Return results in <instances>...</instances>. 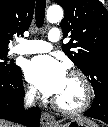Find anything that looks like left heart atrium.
<instances>
[{"label":"left heart atrium","mask_w":108,"mask_h":127,"mask_svg":"<svg viewBox=\"0 0 108 127\" xmlns=\"http://www.w3.org/2000/svg\"><path fill=\"white\" fill-rule=\"evenodd\" d=\"M26 77L41 92L56 95L62 89L67 75L65 67L50 56H38L26 67Z\"/></svg>","instance_id":"1"}]
</instances>
